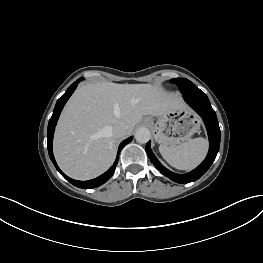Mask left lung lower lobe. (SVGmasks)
Segmentation results:
<instances>
[{
    "mask_svg": "<svg viewBox=\"0 0 263 263\" xmlns=\"http://www.w3.org/2000/svg\"><path fill=\"white\" fill-rule=\"evenodd\" d=\"M183 98L203 118L205 123L210 143L209 152L205 160L196 169L187 174H176L169 171L158 161L150 148V141L146 144L147 155L155 167L163 175L180 184L196 181L205 174L215 160L220 146V128L218 120L206 94L198 90L195 92L183 93Z\"/></svg>",
    "mask_w": 263,
    "mask_h": 263,
    "instance_id": "obj_1",
    "label": "left lung lower lobe"
}]
</instances>
